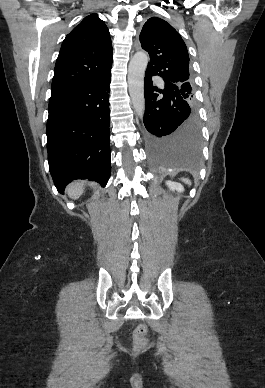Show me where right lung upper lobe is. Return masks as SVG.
I'll use <instances>...</instances> for the list:
<instances>
[{"label":"right lung upper lobe","instance_id":"obj_1","mask_svg":"<svg viewBox=\"0 0 265 388\" xmlns=\"http://www.w3.org/2000/svg\"><path fill=\"white\" fill-rule=\"evenodd\" d=\"M109 30L97 14L85 17L64 39L54 70L52 95L110 76Z\"/></svg>","mask_w":265,"mask_h":388}]
</instances>
